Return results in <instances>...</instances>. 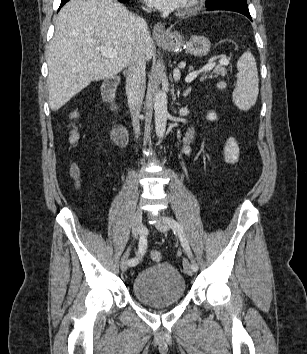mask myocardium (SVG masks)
<instances>
[{
    "mask_svg": "<svg viewBox=\"0 0 307 354\" xmlns=\"http://www.w3.org/2000/svg\"><path fill=\"white\" fill-rule=\"evenodd\" d=\"M202 0H186L181 8V13H188L194 10Z\"/></svg>",
    "mask_w": 307,
    "mask_h": 354,
    "instance_id": "f54148a6",
    "label": "myocardium"
}]
</instances>
